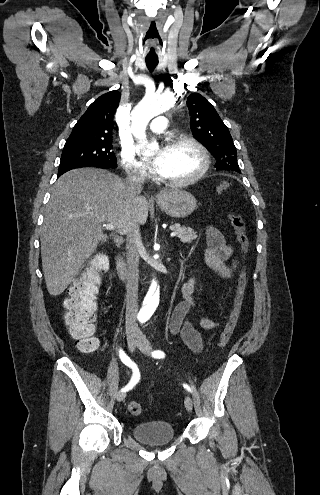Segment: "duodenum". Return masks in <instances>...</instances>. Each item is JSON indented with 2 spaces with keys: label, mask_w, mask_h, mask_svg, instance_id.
I'll return each mask as SVG.
<instances>
[{
  "label": "duodenum",
  "mask_w": 320,
  "mask_h": 495,
  "mask_svg": "<svg viewBox=\"0 0 320 495\" xmlns=\"http://www.w3.org/2000/svg\"><path fill=\"white\" fill-rule=\"evenodd\" d=\"M116 267L121 280L125 281L128 277V270L124 258L122 256L117 257Z\"/></svg>",
  "instance_id": "duodenum-1"
}]
</instances>
